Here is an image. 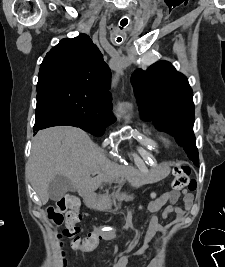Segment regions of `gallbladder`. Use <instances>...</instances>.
I'll list each match as a JSON object with an SVG mask.
<instances>
[{
	"label": "gallbladder",
	"mask_w": 225,
	"mask_h": 267,
	"mask_svg": "<svg viewBox=\"0 0 225 267\" xmlns=\"http://www.w3.org/2000/svg\"><path fill=\"white\" fill-rule=\"evenodd\" d=\"M74 190L72 182L63 175H57L48 186V194L51 200L61 199L68 191Z\"/></svg>",
	"instance_id": "bac80fb5"
}]
</instances>
